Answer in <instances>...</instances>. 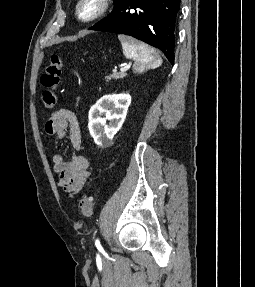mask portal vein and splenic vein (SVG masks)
I'll use <instances>...</instances> for the list:
<instances>
[{"mask_svg": "<svg viewBox=\"0 0 255 287\" xmlns=\"http://www.w3.org/2000/svg\"><path fill=\"white\" fill-rule=\"evenodd\" d=\"M131 64H122V68H120V72H127L129 70Z\"/></svg>", "mask_w": 255, "mask_h": 287, "instance_id": "portal-vein-and-splenic-vein-1", "label": "portal vein and splenic vein"}]
</instances>
